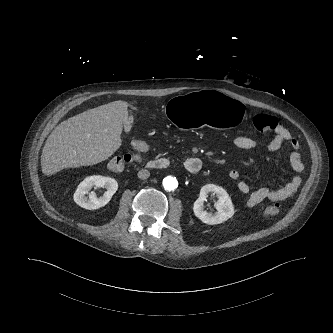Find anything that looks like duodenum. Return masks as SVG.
<instances>
[{
  "label": "duodenum",
  "instance_id": "410a0bca",
  "mask_svg": "<svg viewBox=\"0 0 333 333\" xmlns=\"http://www.w3.org/2000/svg\"><path fill=\"white\" fill-rule=\"evenodd\" d=\"M170 162L167 159H153L147 163V167L153 170L167 169ZM202 161L197 157H189L184 161V168L190 174H198L202 170Z\"/></svg>",
  "mask_w": 333,
  "mask_h": 333
}]
</instances>
